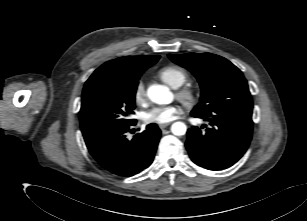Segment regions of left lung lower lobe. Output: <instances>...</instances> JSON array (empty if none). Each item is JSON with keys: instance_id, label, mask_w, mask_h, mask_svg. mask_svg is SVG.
Here are the masks:
<instances>
[{"instance_id": "0a47b994", "label": "left lung lower lobe", "mask_w": 307, "mask_h": 221, "mask_svg": "<svg viewBox=\"0 0 307 221\" xmlns=\"http://www.w3.org/2000/svg\"><path fill=\"white\" fill-rule=\"evenodd\" d=\"M191 115L212 126L205 131L193 126L187 131L186 148L193 162L220 170L231 167L244 155L252 138V111L226 109L209 116Z\"/></svg>"}]
</instances>
